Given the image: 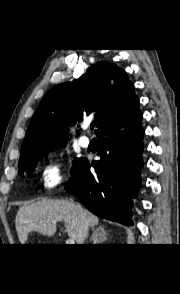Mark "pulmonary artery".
I'll return each instance as SVG.
<instances>
[{
    "mask_svg": "<svg viewBox=\"0 0 180 294\" xmlns=\"http://www.w3.org/2000/svg\"><path fill=\"white\" fill-rule=\"evenodd\" d=\"M85 128H88V125H86ZM79 143L82 147H88L90 145V139L87 136H82Z\"/></svg>",
    "mask_w": 180,
    "mask_h": 294,
    "instance_id": "e3ab8cb5",
    "label": "pulmonary artery"
}]
</instances>
